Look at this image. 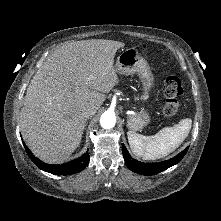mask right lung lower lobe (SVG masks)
Masks as SVG:
<instances>
[{
    "label": "right lung lower lobe",
    "mask_w": 221,
    "mask_h": 221,
    "mask_svg": "<svg viewBox=\"0 0 221 221\" xmlns=\"http://www.w3.org/2000/svg\"><path fill=\"white\" fill-rule=\"evenodd\" d=\"M24 147L29 157L38 168L54 175H71L80 172L88 165L90 159L88 152H86L80 158L61 165L46 164L38 158H36L25 144Z\"/></svg>",
    "instance_id": "obj_1"
}]
</instances>
